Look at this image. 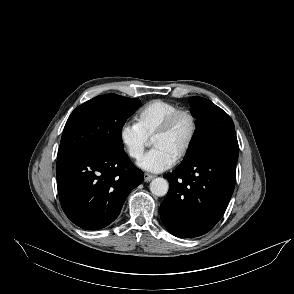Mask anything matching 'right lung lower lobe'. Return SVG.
<instances>
[{
	"label": "right lung lower lobe",
	"instance_id": "98d812e1",
	"mask_svg": "<svg viewBox=\"0 0 294 294\" xmlns=\"http://www.w3.org/2000/svg\"><path fill=\"white\" fill-rule=\"evenodd\" d=\"M56 172L63 211L74 224L87 230L112 223L128 194L144 178L123 149L69 154L57 160Z\"/></svg>",
	"mask_w": 294,
	"mask_h": 294
}]
</instances>
